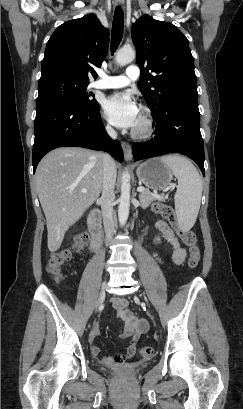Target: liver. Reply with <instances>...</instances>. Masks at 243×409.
Wrapping results in <instances>:
<instances>
[{"instance_id": "1", "label": "liver", "mask_w": 243, "mask_h": 409, "mask_svg": "<svg viewBox=\"0 0 243 409\" xmlns=\"http://www.w3.org/2000/svg\"><path fill=\"white\" fill-rule=\"evenodd\" d=\"M35 184L46 217L47 246L55 252L66 231L100 195L103 155L78 147L57 148L38 164Z\"/></svg>"}]
</instances>
